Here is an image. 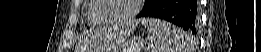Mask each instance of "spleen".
I'll return each instance as SVG.
<instances>
[{"instance_id":"obj_1","label":"spleen","mask_w":261,"mask_h":52,"mask_svg":"<svg viewBox=\"0 0 261 52\" xmlns=\"http://www.w3.org/2000/svg\"><path fill=\"white\" fill-rule=\"evenodd\" d=\"M147 29L148 52H194L192 38L171 23L160 19H143Z\"/></svg>"}]
</instances>
